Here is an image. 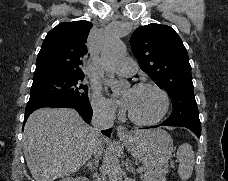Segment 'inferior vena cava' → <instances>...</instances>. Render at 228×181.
Masks as SVG:
<instances>
[{"label":"inferior vena cava","mask_w":228,"mask_h":181,"mask_svg":"<svg viewBox=\"0 0 228 181\" xmlns=\"http://www.w3.org/2000/svg\"><path fill=\"white\" fill-rule=\"evenodd\" d=\"M93 117H92V129L95 135H99L102 137L101 131H105V129H111L114 125V117L115 113H111L108 111L104 105H93ZM103 153V147L101 143L96 145L92 151V155H94L95 159H101ZM98 163V161H96Z\"/></svg>","instance_id":"obj_1"}]
</instances>
